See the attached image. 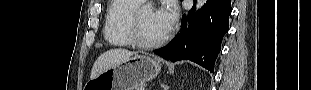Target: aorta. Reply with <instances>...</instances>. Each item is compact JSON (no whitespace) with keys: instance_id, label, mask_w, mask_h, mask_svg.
<instances>
[{"instance_id":"aorta-1","label":"aorta","mask_w":311,"mask_h":90,"mask_svg":"<svg viewBox=\"0 0 311 90\" xmlns=\"http://www.w3.org/2000/svg\"><path fill=\"white\" fill-rule=\"evenodd\" d=\"M205 3L206 0H197L196 9H200Z\"/></svg>"}]
</instances>
